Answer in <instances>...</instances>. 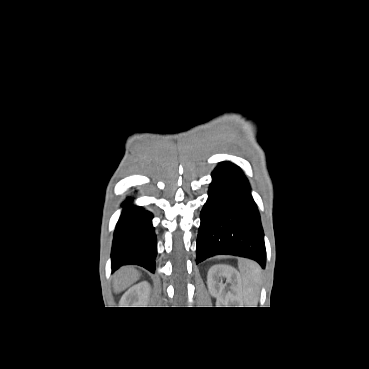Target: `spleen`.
Returning a JSON list of instances; mask_svg holds the SVG:
<instances>
[{
    "instance_id": "obj_1",
    "label": "spleen",
    "mask_w": 369,
    "mask_h": 369,
    "mask_svg": "<svg viewBox=\"0 0 369 369\" xmlns=\"http://www.w3.org/2000/svg\"><path fill=\"white\" fill-rule=\"evenodd\" d=\"M239 270L242 276V296L247 307H256L260 290L261 270L253 261L239 262Z\"/></svg>"
}]
</instances>
